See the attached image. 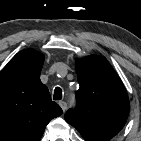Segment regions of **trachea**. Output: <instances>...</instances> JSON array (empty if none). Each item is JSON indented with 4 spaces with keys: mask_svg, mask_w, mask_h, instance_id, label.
Here are the masks:
<instances>
[{
    "mask_svg": "<svg viewBox=\"0 0 141 141\" xmlns=\"http://www.w3.org/2000/svg\"><path fill=\"white\" fill-rule=\"evenodd\" d=\"M54 100H61L62 99V90L60 87H56L54 90Z\"/></svg>",
    "mask_w": 141,
    "mask_h": 141,
    "instance_id": "1",
    "label": "trachea"
}]
</instances>
